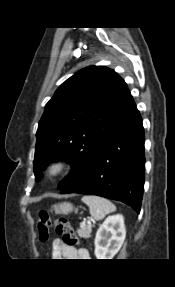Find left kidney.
<instances>
[{
  "instance_id": "5707ae66",
  "label": "left kidney",
  "mask_w": 175,
  "mask_h": 287,
  "mask_svg": "<svg viewBox=\"0 0 175 287\" xmlns=\"http://www.w3.org/2000/svg\"><path fill=\"white\" fill-rule=\"evenodd\" d=\"M126 237L124 218L113 215L106 218L95 237V256L97 259H112L120 250Z\"/></svg>"
}]
</instances>
